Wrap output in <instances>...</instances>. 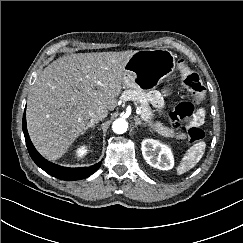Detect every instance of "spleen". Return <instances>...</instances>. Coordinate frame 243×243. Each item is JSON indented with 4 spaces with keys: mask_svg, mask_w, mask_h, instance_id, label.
Segmentation results:
<instances>
[{
    "mask_svg": "<svg viewBox=\"0 0 243 243\" xmlns=\"http://www.w3.org/2000/svg\"><path fill=\"white\" fill-rule=\"evenodd\" d=\"M206 148L204 141L198 142L190 147L182 158L180 165L177 167V173L183 174L193 168L202 158Z\"/></svg>",
    "mask_w": 243,
    "mask_h": 243,
    "instance_id": "spleen-1",
    "label": "spleen"
}]
</instances>
